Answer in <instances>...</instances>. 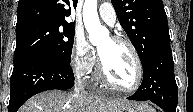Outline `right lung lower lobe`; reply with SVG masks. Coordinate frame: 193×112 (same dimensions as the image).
<instances>
[{"label": "right lung lower lobe", "instance_id": "obj_1", "mask_svg": "<svg viewBox=\"0 0 193 112\" xmlns=\"http://www.w3.org/2000/svg\"><path fill=\"white\" fill-rule=\"evenodd\" d=\"M74 85L70 64L49 54L29 56L14 64L8 112H17L33 95L46 90H67Z\"/></svg>", "mask_w": 193, "mask_h": 112}]
</instances>
